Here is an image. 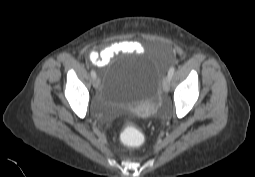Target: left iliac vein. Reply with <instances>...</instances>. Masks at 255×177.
Instances as JSON below:
<instances>
[{"label":"left iliac vein","mask_w":255,"mask_h":177,"mask_svg":"<svg viewBox=\"0 0 255 177\" xmlns=\"http://www.w3.org/2000/svg\"><path fill=\"white\" fill-rule=\"evenodd\" d=\"M170 89V79L169 77H165L164 81H163V90L164 92H168Z\"/></svg>","instance_id":"left-iliac-vein-1"}]
</instances>
